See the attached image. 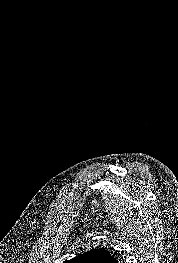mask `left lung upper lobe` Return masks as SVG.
<instances>
[{"instance_id":"left-lung-upper-lobe-1","label":"left lung upper lobe","mask_w":178,"mask_h":263,"mask_svg":"<svg viewBox=\"0 0 178 263\" xmlns=\"http://www.w3.org/2000/svg\"><path fill=\"white\" fill-rule=\"evenodd\" d=\"M115 258L104 248L91 249L64 263H111Z\"/></svg>"}]
</instances>
